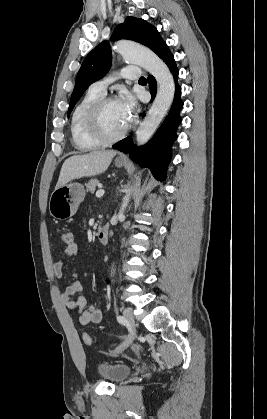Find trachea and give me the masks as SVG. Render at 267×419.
I'll list each match as a JSON object with an SVG mask.
<instances>
[{
  "instance_id": "3493384b",
  "label": "trachea",
  "mask_w": 267,
  "mask_h": 419,
  "mask_svg": "<svg viewBox=\"0 0 267 419\" xmlns=\"http://www.w3.org/2000/svg\"><path fill=\"white\" fill-rule=\"evenodd\" d=\"M139 81H146L145 77H141Z\"/></svg>"
}]
</instances>
